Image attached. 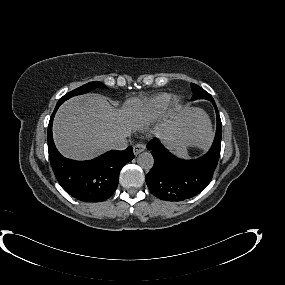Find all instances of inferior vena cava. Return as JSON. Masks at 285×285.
<instances>
[{"mask_svg": "<svg viewBox=\"0 0 285 285\" xmlns=\"http://www.w3.org/2000/svg\"><path fill=\"white\" fill-rule=\"evenodd\" d=\"M128 142H129L128 135L122 134L111 139L109 141L108 146L110 149L113 150H124L127 148Z\"/></svg>", "mask_w": 285, "mask_h": 285, "instance_id": "inferior-vena-cava-1", "label": "inferior vena cava"}]
</instances>
